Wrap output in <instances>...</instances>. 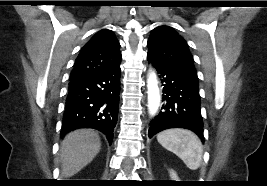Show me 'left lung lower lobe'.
Masks as SVG:
<instances>
[{
	"label": "left lung lower lobe",
	"mask_w": 267,
	"mask_h": 186,
	"mask_svg": "<svg viewBox=\"0 0 267 186\" xmlns=\"http://www.w3.org/2000/svg\"><path fill=\"white\" fill-rule=\"evenodd\" d=\"M156 68L163 84V101L160 112L152 119L149 138L169 128L194 131L202 140L203 122L198 83L147 57Z\"/></svg>",
	"instance_id": "obj_1"
}]
</instances>
